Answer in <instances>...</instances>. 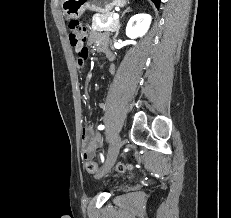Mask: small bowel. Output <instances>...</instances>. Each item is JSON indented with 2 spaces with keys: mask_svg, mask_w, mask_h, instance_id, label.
I'll return each mask as SVG.
<instances>
[{
  "mask_svg": "<svg viewBox=\"0 0 231 218\" xmlns=\"http://www.w3.org/2000/svg\"><path fill=\"white\" fill-rule=\"evenodd\" d=\"M87 43L88 45H96V47L100 51L106 53L108 58L110 59L113 58L112 53L107 48V39L105 36L97 32H92L87 40ZM75 49L78 54V52L81 49V46H77L75 47ZM76 62L80 68H83L85 65L88 64L89 59L87 58V56H82V58H77ZM99 107L101 109H104L106 107V103L101 102L99 104ZM100 143H101V137L99 135L91 136L89 129L84 128L82 139H81L82 156L85 159L93 157Z\"/></svg>",
  "mask_w": 231,
  "mask_h": 218,
  "instance_id": "small-bowel-1",
  "label": "small bowel"
}]
</instances>
